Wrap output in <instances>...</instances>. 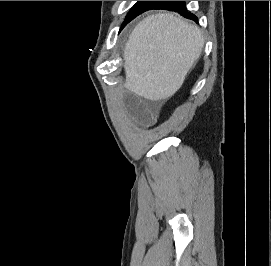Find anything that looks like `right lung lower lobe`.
<instances>
[{
  "mask_svg": "<svg viewBox=\"0 0 271 266\" xmlns=\"http://www.w3.org/2000/svg\"><path fill=\"white\" fill-rule=\"evenodd\" d=\"M152 9H165L175 11L178 12L180 15H183L185 18L198 22L197 17L187 11L184 1H160Z\"/></svg>",
  "mask_w": 271,
  "mask_h": 266,
  "instance_id": "obj_1",
  "label": "right lung lower lobe"
}]
</instances>
